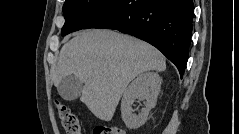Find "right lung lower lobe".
<instances>
[{"instance_id":"right-lung-lower-lobe-1","label":"right lung lower lobe","mask_w":239,"mask_h":134,"mask_svg":"<svg viewBox=\"0 0 239 134\" xmlns=\"http://www.w3.org/2000/svg\"><path fill=\"white\" fill-rule=\"evenodd\" d=\"M192 0H116L83 29L107 28L133 35L160 50L182 78L189 54Z\"/></svg>"}]
</instances>
